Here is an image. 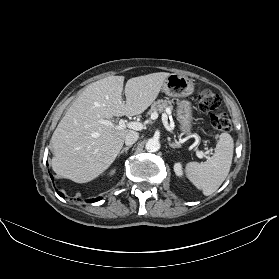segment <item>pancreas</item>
Instances as JSON below:
<instances>
[{"mask_svg":"<svg viewBox=\"0 0 279 279\" xmlns=\"http://www.w3.org/2000/svg\"><path fill=\"white\" fill-rule=\"evenodd\" d=\"M170 109L172 110L173 109V106H172V102L169 101V100H158L156 102H154L150 108V110L148 111V114H153L155 112H160V113H163L166 111V109Z\"/></svg>","mask_w":279,"mask_h":279,"instance_id":"1","label":"pancreas"}]
</instances>
